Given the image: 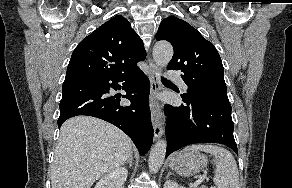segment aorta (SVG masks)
Instances as JSON below:
<instances>
[{
  "label": "aorta",
  "mask_w": 292,
  "mask_h": 188,
  "mask_svg": "<svg viewBox=\"0 0 292 188\" xmlns=\"http://www.w3.org/2000/svg\"><path fill=\"white\" fill-rule=\"evenodd\" d=\"M173 56L172 45L166 41L157 42L153 48V58L160 68L166 67ZM166 140H159L151 149L148 166L152 173H156L162 166L166 155Z\"/></svg>",
  "instance_id": "1"
}]
</instances>
